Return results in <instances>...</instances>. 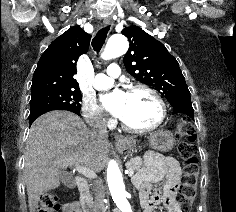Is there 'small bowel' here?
<instances>
[{
    "mask_svg": "<svg viewBox=\"0 0 236 212\" xmlns=\"http://www.w3.org/2000/svg\"><path fill=\"white\" fill-rule=\"evenodd\" d=\"M180 174L181 168L176 159L153 156L148 166L135 177L144 212H155L162 203L166 207V212H181L180 205L174 197L173 189ZM161 180H164L165 184L152 194V185ZM61 212H82V210L78 203L69 202L62 205Z\"/></svg>",
    "mask_w": 236,
    "mask_h": 212,
    "instance_id": "1",
    "label": "small bowel"
}]
</instances>
